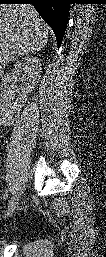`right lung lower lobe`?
<instances>
[{"instance_id":"98d812e1","label":"right lung lower lobe","mask_w":106,"mask_h":257,"mask_svg":"<svg viewBox=\"0 0 106 257\" xmlns=\"http://www.w3.org/2000/svg\"><path fill=\"white\" fill-rule=\"evenodd\" d=\"M3 4H32L44 21L55 33L58 47L63 40L69 14V5L72 0H0Z\"/></svg>"}]
</instances>
